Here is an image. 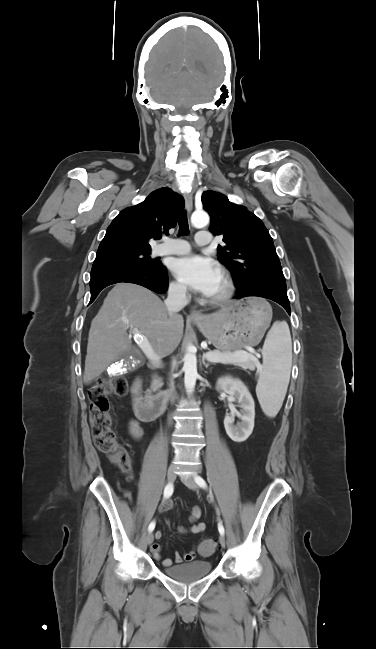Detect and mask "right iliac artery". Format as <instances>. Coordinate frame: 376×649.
Here are the masks:
<instances>
[{
    "instance_id": "right-iliac-artery-1",
    "label": "right iliac artery",
    "mask_w": 376,
    "mask_h": 649,
    "mask_svg": "<svg viewBox=\"0 0 376 649\" xmlns=\"http://www.w3.org/2000/svg\"><path fill=\"white\" fill-rule=\"evenodd\" d=\"M173 490H174L173 484H172V483H168V484L166 485L165 489H164V498H165V499H166V498H169V497L172 495ZM154 528H155V521H152V522L149 524L148 531H149V532H152V531L154 530Z\"/></svg>"
}]
</instances>
